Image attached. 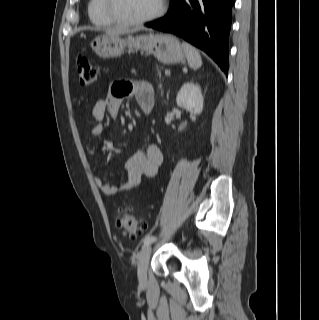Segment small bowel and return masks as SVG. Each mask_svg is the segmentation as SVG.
<instances>
[{"instance_id": "obj_1", "label": "small bowel", "mask_w": 319, "mask_h": 320, "mask_svg": "<svg viewBox=\"0 0 319 320\" xmlns=\"http://www.w3.org/2000/svg\"><path fill=\"white\" fill-rule=\"evenodd\" d=\"M134 97L141 110H152L155 99L153 87L145 82L118 80L110 85L107 96L97 100L92 109L94 125L91 128L93 138L101 137L104 132L101 121L108 114L111 118L118 117L121 104L126 98ZM162 164V153L158 146L150 144L145 151L134 152L125 162L127 171L126 179L118 185H112L101 177L95 178V183L106 196H113L137 188L143 177L153 178L156 176Z\"/></svg>"}]
</instances>
